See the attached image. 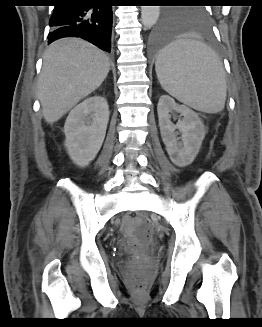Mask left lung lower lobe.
Wrapping results in <instances>:
<instances>
[{
	"instance_id": "0a47b994",
	"label": "left lung lower lobe",
	"mask_w": 262,
	"mask_h": 327,
	"mask_svg": "<svg viewBox=\"0 0 262 327\" xmlns=\"http://www.w3.org/2000/svg\"><path fill=\"white\" fill-rule=\"evenodd\" d=\"M208 30V27L205 28ZM173 27L162 21L151 32L148 39V47L150 52H161L165 49L173 39Z\"/></svg>"
}]
</instances>
